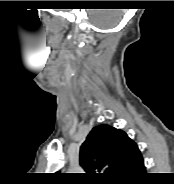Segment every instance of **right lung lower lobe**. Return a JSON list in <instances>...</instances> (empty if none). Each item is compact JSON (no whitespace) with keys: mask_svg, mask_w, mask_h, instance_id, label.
<instances>
[{"mask_svg":"<svg viewBox=\"0 0 174 184\" xmlns=\"http://www.w3.org/2000/svg\"><path fill=\"white\" fill-rule=\"evenodd\" d=\"M142 157L132 164L124 175L117 181L119 184H139L146 177Z\"/></svg>","mask_w":174,"mask_h":184,"instance_id":"obj_1","label":"right lung lower lobe"}]
</instances>
